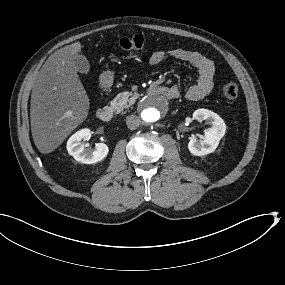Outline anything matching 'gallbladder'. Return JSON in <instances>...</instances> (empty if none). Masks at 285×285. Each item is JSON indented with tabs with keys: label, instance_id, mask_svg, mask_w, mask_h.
<instances>
[{
	"label": "gallbladder",
	"instance_id": "bac80fb5",
	"mask_svg": "<svg viewBox=\"0 0 285 285\" xmlns=\"http://www.w3.org/2000/svg\"><path fill=\"white\" fill-rule=\"evenodd\" d=\"M74 65L78 72L88 73L90 65L85 56L77 54L74 59Z\"/></svg>",
	"mask_w": 285,
	"mask_h": 285
}]
</instances>
